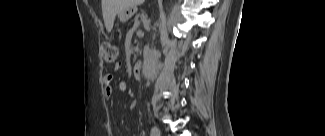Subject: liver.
I'll return each instance as SVG.
<instances>
[{
    "instance_id": "liver-1",
    "label": "liver",
    "mask_w": 325,
    "mask_h": 136,
    "mask_svg": "<svg viewBox=\"0 0 325 136\" xmlns=\"http://www.w3.org/2000/svg\"><path fill=\"white\" fill-rule=\"evenodd\" d=\"M143 2L144 0H102V13L107 32L112 31L117 14Z\"/></svg>"
}]
</instances>
